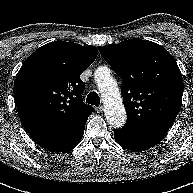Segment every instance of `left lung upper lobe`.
I'll list each match as a JSON object with an SVG mask.
<instances>
[{
  "instance_id": "obj_1",
  "label": "left lung upper lobe",
  "mask_w": 193,
  "mask_h": 193,
  "mask_svg": "<svg viewBox=\"0 0 193 193\" xmlns=\"http://www.w3.org/2000/svg\"><path fill=\"white\" fill-rule=\"evenodd\" d=\"M100 53L123 79L128 117L124 128H170L179 113L184 86L173 56L159 44L137 38L103 46Z\"/></svg>"
}]
</instances>
